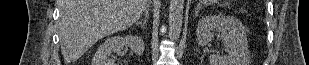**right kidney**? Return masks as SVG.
Instances as JSON below:
<instances>
[{"label": "right kidney", "instance_id": "ca27d5eb", "mask_svg": "<svg viewBox=\"0 0 309 65\" xmlns=\"http://www.w3.org/2000/svg\"><path fill=\"white\" fill-rule=\"evenodd\" d=\"M124 46H128L138 56L144 52V42L141 37L126 35L107 38L100 45L92 60L93 65H116V59L110 58V54L120 53Z\"/></svg>", "mask_w": 309, "mask_h": 65}]
</instances>
